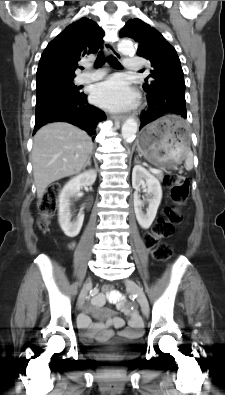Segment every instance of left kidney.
Masks as SVG:
<instances>
[{
    "mask_svg": "<svg viewBox=\"0 0 225 395\" xmlns=\"http://www.w3.org/2000/svg\"><path fill=\"white\" fill-rule=\"evenodd\" d=\"M132 186L135 189L133 198L136 219L142 228L148 229L154 221L161 203L162 188L160 182L144 167L135 165L132 171ZM140 186H146L147 193L151 196V198L148 199L149 207L146 214L142 211L143 202L138 194Z\"/></svg>",
    "mask_w": 225,
    "mask_h": 395,
    "instance_id": "1",
    "label": "left kidney"
}]
</instances>
